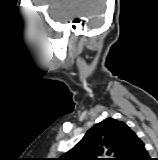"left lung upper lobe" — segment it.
Instances as JSON below:
<instances>
[{"label": "left lung upper lobe", "instance_id": "left-lung-upper-lobe-1", "mask_svg": "<svg viewBox=\"0 0 158 160\" xmlns=\"http://www.w3.org/2000/svg\"><path fill=\"white\" fill-rule=\"evenodd\" d=\"M135 133L113 118L97 123L81 141L58 160H124ZM111 155L114 158H101Z\"/></svg>", "mask_w": 158, "mask_h": 160}]
</instances>
